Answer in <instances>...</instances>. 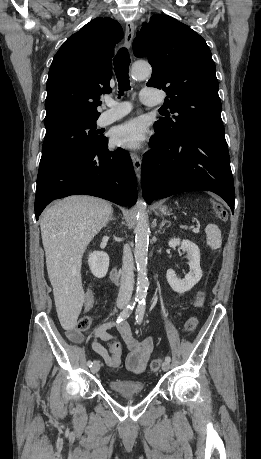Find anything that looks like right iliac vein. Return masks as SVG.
<instances>
[{"label": "right iliac vein", "mask_w": 261, "mask_h": 459, "mask_svg": "<svg viewBox=\"0 0 261 459\" xmlns=\"http://www.w3.org/2000/svg\"><path fill=\"white\" fill-rule=\"evenodd\" d=\"M119 307H123V305H119ZM100 369V363L98 361H94L92 367H91V372L92 373H97Z\"/></svg>", "instance_id": "right-iliac-vein-1"}]
</instances>
